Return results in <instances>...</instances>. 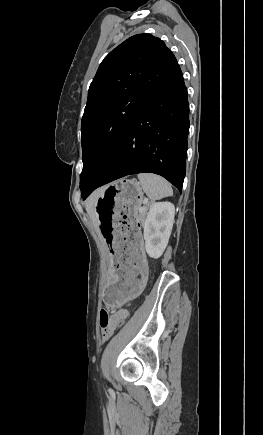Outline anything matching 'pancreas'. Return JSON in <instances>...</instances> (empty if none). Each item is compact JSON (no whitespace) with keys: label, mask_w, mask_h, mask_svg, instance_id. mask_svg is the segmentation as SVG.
<instances>
[{"label":"pancreas","mask_w":263,"mask_h":435,"mask_svg":"<svg viewBox=\"0 0 263 435\" xmlns=\"http://www.w3.org/2000/svg\"><path fill=\"white\" fill-rule=\"evenodd\" d=\"M148 208H149V204H148L147 206L144 207V211H142V212L139 211L138 218H139V221H140L141 223H143L144 220H145V217H146V214H147V210H148Z\"/></svg>","instance_id":"obj_1"}]
</instances>
